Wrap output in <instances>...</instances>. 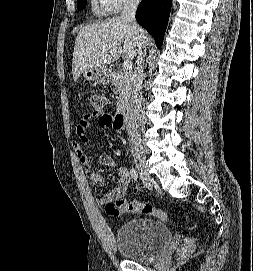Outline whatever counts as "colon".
I'll return each mask as SVG.
<instances>
[{
	"instance_id": "5ec220e1",
	"label": "colon",
	"mask_w": 253,
	"mask_h": 271,
	"mask_svg": "<svg viewBox=\"0 0 253 271\" xmlns=\"http://www.w3.org/2000/svg\"><path fill=\"white\" fill-rule=\"evenodd\" d=\"M91 105L95 113L102 112L107 106V99L101 94H92ZM108 209L115 208L120 211H125L134 214L149 215L157 217L161 220L168 221L169 215L161 209L154 207L149 203H143L139 201H124L118 200L115 204L107 205ZM194 244V238L188 237L182 246L181 254L184 255L191 250Z\"/></svg>"
}]
</instances>
